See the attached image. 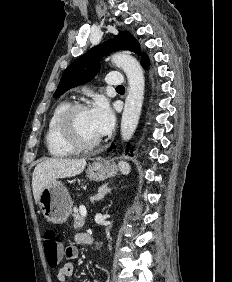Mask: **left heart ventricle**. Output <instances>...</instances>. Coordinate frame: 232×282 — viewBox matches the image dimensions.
Masks as SVG:
<instances>
[{
	"label": "left heart ventricle",
	"mask_w": 232,
	"mask_h": 282,
	"mask_svg": "<svg viewBox=\"0 0 232 282\" xmlns=\"http://www.w3.org/2000/svg\"><path fill=\"white\" fill-rule=\"evenodd\" d=\"M75 125L77 134L83 141L90 142L100 138L93 125L90 109L77 114Z\"/></svg>",
	"instance_id": "b2bd125f"
}]
</instances>
